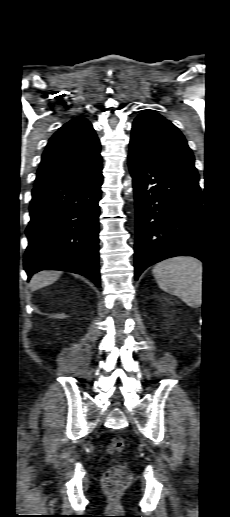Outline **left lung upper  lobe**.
<instances>
[{"label":"left lung upper lobe","instance_id":"1","mask_svg":"<svg viewBox=\"0 0 230 517\" xmlns=\"http://www.w3.org/2000/svg\"><path fill=\"white\" fill-rule=\"evenodd\" d=\"M130 151L159 163L196 171L193 153L183 134L153 111H144L135 118Z\"/></svg>","mask_w":230,"mask_h":517}]
</instances>
